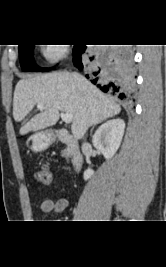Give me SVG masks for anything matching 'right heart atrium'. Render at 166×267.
Here are the masks:
<instances>
[{"label":"right heart atrium","instance_id":"1","mask_svg":"<svg viewBox=\"0 0 166 267\" xmlns=\"http://www.w3.org/2000/svg\"><path fill=\"white\" fill-rule=\"evenodd\" d=\"M67 54V46L46 44L42 48L43 57L50 62H57Z\"/></svg>","mask_w":166,"mask_h":267}]
</instances>
